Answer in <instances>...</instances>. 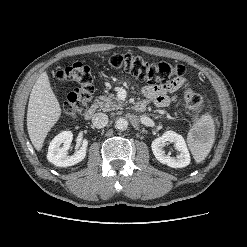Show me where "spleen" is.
Returning <instances> with one entry per match:
<instances>
[{
    "instance_id": "obj_1",
    "label": "spleen",
    "mask_w": 247,
    "mask_h": 247,
    "mask_svg": "<svg viewBox=\"0 0 247 247\" xmlns=\"http://www.w3.org/2000/svg\"><path fill=\"white\" fill-rule=\"evenodd\" d=\"M196 127L203 132L200 140H189V146L197 163L203 161L209 154L214 142V120L209 113H205L197 121Z\"/></svg>"
}]
</instances>
